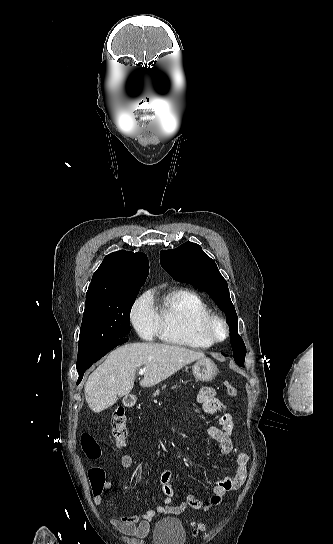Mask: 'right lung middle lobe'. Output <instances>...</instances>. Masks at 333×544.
Returning <instances> with one entry per match:
<instances>
[{"label":"right lung middle lobe","instance_id":"right-lung-middle-lobe-1","mask_svg":"<svg viewBox=\"0 0 333 544\" xmlns=\"http://www.w3.org/2000/svg\"><path fill=\"white\" fill-rule=\"evenodd\" d=\"M138 292L86 302L79 336L77 367L131 331L130 311Z\"/></svg>","mask_w":333,"mask_h":544}]
</instances>
